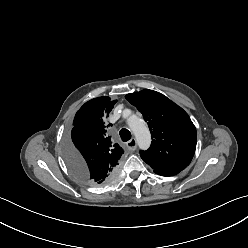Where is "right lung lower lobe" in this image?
<instances>
[{
	"label": "right lung lower lobe",
	"instance_id": "right-lung-lower-lobe-1",
	"mask_svg": "<svg viewBox=\"0 0 248 248\" xmlns=\"http://www.w3.org/2000/svg\"><path fill=\"white\" fill-rule=\"evenodd\" d=\"M68 164V166H69V168L71 169V171L79 178V179H81L82 181H84V182H89V183H91L92 181H95V180H98L99 178H93V179H85L84 178V176H83V174L80 172V170L78 169V165L75 163V164H73V165H70L69 163H67ZM116 175V171H114L113 173H112V176L111 177H108V178H105V179H103V181H107V180H109L110 178H112V177H114Z\"/></svg>",
	"mask_w": 248,
	"mask_h": 248
}]
</instances>
